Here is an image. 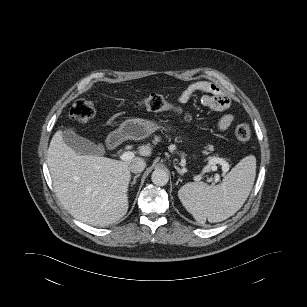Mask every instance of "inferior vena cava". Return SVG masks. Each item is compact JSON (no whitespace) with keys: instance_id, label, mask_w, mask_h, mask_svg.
<instances>
[{"instance_id":"602c4592","label":"inferior vena cava","mask_w":307,"mask_h":307,"mask_svg":"<svg viewBox=\"0 0 307 307\" xmlns=\"http://www.w3.org/2000/svg\"><path fill=\"white\" fill-rule=\"evenodd\" d=\"M146 167V162L142 159H137L129 165V170L133 173H140Z\"/></svg>"}]
</instances>
